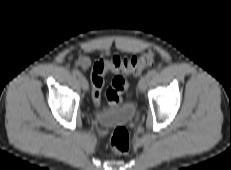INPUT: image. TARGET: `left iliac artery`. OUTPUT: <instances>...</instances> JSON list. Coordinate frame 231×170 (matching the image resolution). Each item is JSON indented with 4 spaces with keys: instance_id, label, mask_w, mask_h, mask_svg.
Masks as SVG:
<instances>
[{
    "instance_id": "obj_1",
    "label": "left iliac artery",
    "mask_w": 231,
    "mask_h": 170,
    "mask_svg": "<svg viewBox=\"0 0 231 170\" xmlns=\"http://www.w3.org/2000/svg\"><path fill=\"white\" fill-rule=\"evenodd\" d=\"M148 75H149L150 77L155 76V75H156V70H155V69L150 70V71L148 72Z\"/></svg>"
}]
</instances>
